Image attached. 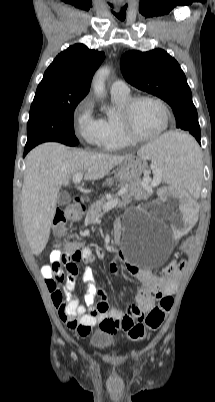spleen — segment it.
<instances>
[{"instance_id":"obj_1","label":"spleen","mask_w":215,"mask_h":402,"mask_svg":"<svg viewBox=\"0 0 215 402\" xmlns=\"http://www.w3.org/2000/svg\"><path fill=\"white\" fill-rule=\"evenodd\" d=\"M138 155L151 159L153 170L162 174L167 183L181 186L182 192L195 193L199 189L202 166L195 133L173 128L172 132L141 148Z\"/></svg>"}]
</instances>
